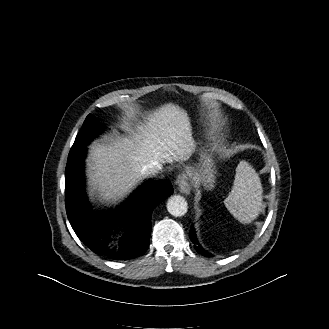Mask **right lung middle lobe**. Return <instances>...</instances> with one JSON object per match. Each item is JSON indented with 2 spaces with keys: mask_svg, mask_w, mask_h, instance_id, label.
Listing matches in <instances>:
<instances>
[{
  "mask_svg": "<svg viewBox=\"0 0 329 329\" xmlns=\"http://www.w3.org/2000/svg\"><path fill=\"white\" fill-rule=\"evenodd\" d=\"M102 125L97 119L89 114L84 121V124L75 138V142L69 152L68 161L72 160L76 155L81 153L94 137L101 132Z\"/></svg>",
  "mask_w": 329,
  "mask_h": 329,
  "instance_id": "dd1d6c3e",
  "label": "right lung middle lobe"
}]
</instances>
